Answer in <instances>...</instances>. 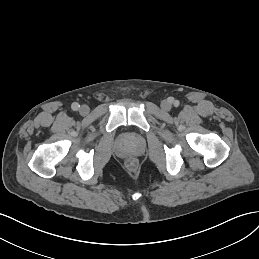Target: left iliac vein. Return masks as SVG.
Returning a JSON list of instances; mask_svg holds the SVG:
<instances>
[{
    "mask_svg": "<svg viewBox=\"0 0 259 259\" xmlns=\"http://www.w3.org/2000/svg\"><path fill=\"white\" fill-rule=\"evenodd\" d=\"M171 102H169L168 100H163L161 102V108L165 111H169L171 109Z\"/></svg>",
    "mask_w": 259,
    "mask_h": 259,
    "instance_id": "4c4485c4",
    "label": "left iliac vein"
}]
</instances>
